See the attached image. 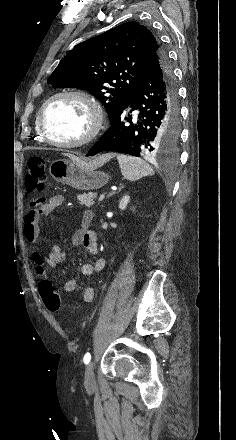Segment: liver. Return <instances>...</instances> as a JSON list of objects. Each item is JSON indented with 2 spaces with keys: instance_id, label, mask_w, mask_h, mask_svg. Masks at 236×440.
<instances>
[{
  "instance_id": "6515ba94",
  "label": "liver",
  "mask_w": 236,
  "mask_h": 440,
  "mask_svg": "<svg viewBox=\"0 0 236 440\" xmlns=\"http://www.w3.org/2000/svg\"><path fill=\"white\" fill-rule=\"evenodd\" d=\"M64 155L69 157L70 159H73V160L79 161L85 165H88L91 168H98V167L104 165L109 159H111L113 157V154H106V155H102V156L96 158L95 160H93L89 163H86L72 154H64Z\"/></svg>"
}]
</instances>
